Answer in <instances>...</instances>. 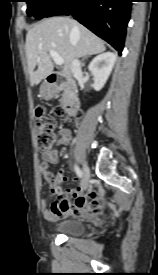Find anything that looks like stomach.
<instances>
[{
    "mask_svg": "<svg viewBox=\"0 0 158 275\" xmlns=\"http://www.w3.org/2000/svg\"><path fill=\"white\" fill-rule=\"evenodd\" d=\"M53 95H54V91H53L52 87L44 82L40 86V97H42L43 99L48 100V99L52 98Z\"/></svg>",
    "mask_w": 158,
    "mask_h": 275,
    "instance_id": "1",
    "label": "stomach"
}]
</instances>
